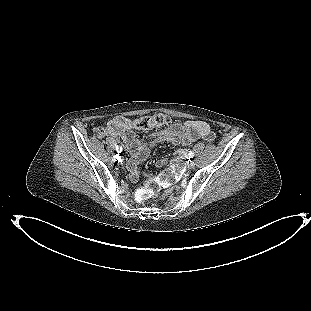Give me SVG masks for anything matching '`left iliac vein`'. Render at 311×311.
I'll use <instances>...</instances> for the list:
<instances>
[{
    "instance_id": "obj_1",
    "label": "left iliac vein",
    "mask_w": 311,
    "mask_h": 311,
    "mask_svg": "<svg viewBox=\"0 0 311 311\" xmlns=\"http://www.w3.org/2000/svg\"><path fill=\"white\" fill-rule=\"evenodd\" d=\"M194 167H195V162L192 161V160L189 161V162H188V168H189V169H192V168H194Z\"/></svg>"
}]
</instances>
